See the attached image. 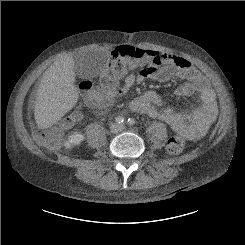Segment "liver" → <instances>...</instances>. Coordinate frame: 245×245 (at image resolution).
<instances>
[{
    "label": "liver",
    "instance_id": "6515ba94",
    "mask_svg": "<svg viewBox=\"0 0 245 245\" xmlns=\"http://www.w3.org/2000/svg\"><path fill=\"white\" fill-rule=\"evenodd\" d=\"M75 76L74 59L70 55L62 56L44 72L34 106L38 128L53 126L76 104Z\"/></svg>",
    "mask_w": 245,
    "mask_h": 245
}]
</instances>
